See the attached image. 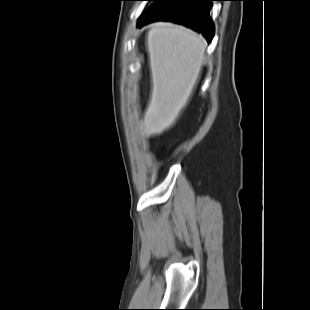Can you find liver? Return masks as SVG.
I'll return each instance as SVG.
<instances>
[{"label":"liver","mask_w":310,"mask_h":310,"mask_svg":"<svg viewBox=\"0 0 310 310\" xmlns=\"http://www.w3.org/2000/svg\"><path fill=\"white\" fill-rule=\"evenodd\" d=\"M206 40L183 26L158 22L147 34L152 91L142 133L162 134L188 104L205 59Z\"/></svg>","instance_id":"1"}]
</instances>
